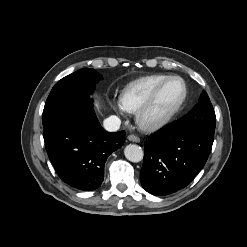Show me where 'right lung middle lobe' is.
<instances>
[{
  "mask_svg": "<svg viewBox=\"0 0 247 247\" xmlns=\"http://www.w3.org/2000/svg\"><path fill=\"white\" fill-rule=\"evenodd\" d=\"M102 76L94 69L78 70L61 80L52 88L43 110V124L79 108L92 107L89 95Z\"/></svg>",
  "mask_w": 247,
  "mask_h": 247,
  "instance_id": "obj_1",
  "label": "right lung middle lobe"
}]
</instances>
